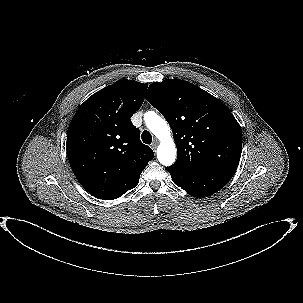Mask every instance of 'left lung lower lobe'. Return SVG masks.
<instances>
[{
  "instance_id": "0a47b994",
  "label": "left lung lower lobe",
  "mask_w": 303,
  "mask_h": 303,
  "mask_svg": "<svg viewBox=\"0 0 303 303\" xmlns=\"http://www.w3.org/2000/svg\"><path fill=\"white\" fill-rule=\"evenodd\" d=\"M166 170L177 186L197 198L216 193L235 173V171L221 169L189 171L174 166L166 167Z\"/></svg>"
}]
</instances>
